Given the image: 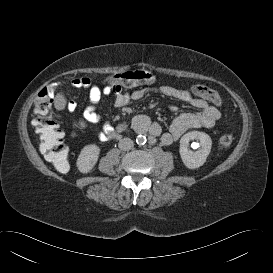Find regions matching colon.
Returning <instances> with one entry per match:
<instances>
[{"instance_id":"obj_1","label":"colon","mask_w":273,"mask_h":273,"mask_svg":"<svg viewBox=\"0 0 273 273\" xmlns=\"http://www.w3.org/2000/svg\"><path fill=\"white\" fill-rule=\"evenodd\" d=\"M156 76L148 70H133L114 74L109 77L108 83L118 88L133 87L136 85L152 84ZM195 94L219 107L222 105L220 95L213 89L203 85H194ZM52 93L44 88L35 101L36 118L32 124L40 138V151L44 158L52 163L56 170L65 173L69 169L67 160V149L64 144V136L59 125L51 117ZM84 125H78L82 129ZM233 143V137L225 134L219 138V145L223 148H229Z\"/></svg>"}]
</instances>
